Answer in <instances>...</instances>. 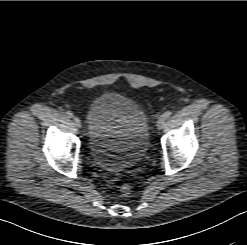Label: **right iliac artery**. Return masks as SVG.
I'll return each mask as SVG.
<instances>
[{
	"label": "right iliac artery",
	"mask_w": 247,
	"mask_h": 245,
	"mask_svg": "<svg viewBox=\"0 0 247 245\" xmlns=\"http://www.w3.org/2000/svg\"><path fill=\"white\" fill-rule=\"evenodd\" d=\"M65 114H66V116L68 118H72L73 117V113L71 111H69V110H67Z\"/></svg>",
	"instance_id": "obj_1"
}]
</instances>
